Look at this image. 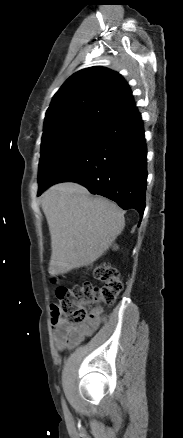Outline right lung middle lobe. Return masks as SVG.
<instances>
[{
	"mask_svg": "<svg viewBox=\"0 0 183 438\" xmlns=\"http://www.w3.org/2000/svg\"><path fill=\"white\" fill-rule=\"evenodd\" d=\"M97 127L78 125L53 130L42 136L39 162V190L64 168L86 145Z\"/></svg>",
	"mask_w": 183,
	"mask_h": 438,
	"instance_id": "1",
	"label": "right lung middle lobe"
}]
</instances>
